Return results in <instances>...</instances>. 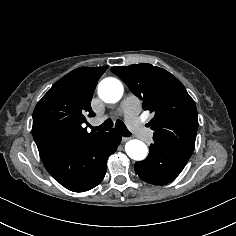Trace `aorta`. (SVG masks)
I'll return each instance as SVG.
<instances>
[{
	"label": "aorta",
	"instance_id": "obj_1",
	"mask_svg": "<svg viewBox=\"0 0 236 236\" xmlns=\"http://www.w3.org/2000/svg\"><path fill=\"white\" fill-rule=\"evenodd\" d=\"M98 95L106 103H116L123 95V85L116 78H105L99 83ZM125 151L131 159L136 161L145 159L148 154L146 144L136 139L126 143Z\"/></svg>",
	"mask_w": 236,
	"mask_h": 236
}]
</instances>
